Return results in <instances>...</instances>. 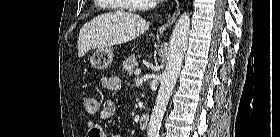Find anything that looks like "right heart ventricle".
Here are the masks:
<instances>
[{
  "label": "right heart ventricle",
  "mask_w": 280,
  "mask_h": 137,
  "mask_svg": "<svg viewBox=\"0 0 280 137\" xmlns=\"http://www.w3.org/2000/svg\"><path fill=\"white\" fill-rule=\"evenodd\" d=\"M101 1V0H100ZM126 1H132V0H126ZM121 9H124V8H121Z\"/></svg>",
  "instance_id": "1"
}]
</instances>
